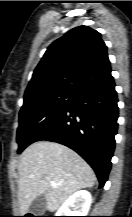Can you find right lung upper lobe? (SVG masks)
I'll return each instance as SVG.
<instances>
[{
    "instance_id": "obj_1",
    "label": "right lung upper lobe",
    "mask_w": 132,
    "mask_h": 217,
    "mask_svg": "<svg viewBox=\"0 0 132 217\" xmlns=\"http://www.w3.org/2000/svg\"><path fill=\"white\" fill-rule=\"evenodd\" d=\"M101 34L79 26L54 41L34 70L24 98L56 92L78 94L112 79Z\"/></svg>"
}]
</instances>
